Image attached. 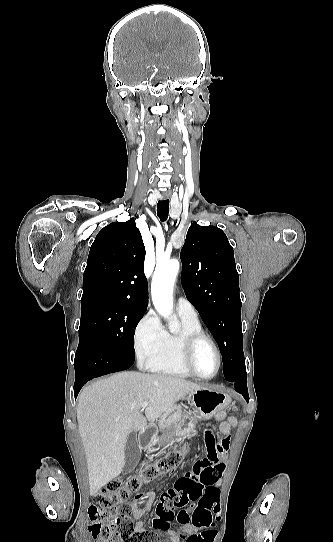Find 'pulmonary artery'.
Returning a JSON list of instances; mask_svg holds the SVG:
<instances>
[{
  "label": "pulmonary artery",
  "mask_w": 333,
  "mask_h": 542,
  "mask_svg": "<svg viewBox=\"0 0 333 542\" xmlns=\"http://www.w3.org/2000/svg\"><path fill=\"white\" fill-rule=\"evenodd\" d=\"M176 313L191 320H198V314L192 303L180 295L176 302Z\"/></svg>",
  "instance_id": "pulmonary-artery-1"
}]
</instances>
